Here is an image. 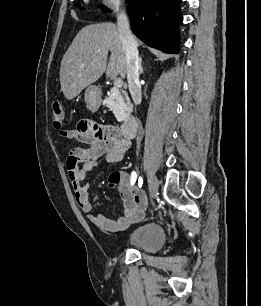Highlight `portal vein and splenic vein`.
I'll use <instances>...</instances> for the list:
<instances>
[{"instance_id": "portal-vein-and-splenic-vein-1", "label": "portal vein and splenic vein", "mask_w": 261, "mask_h": 306, "mask_svg": "<svg viewBox=\"0 0 261 306\" xmlns=\"http://www.w3.org/2000/svg\"><path fill=\"white\" fill-rule=\"evenodd\" d=\"M123 85V81L120 78H115L114 79V87L115 88H121Z\"/></svg>"}]
</instances>
